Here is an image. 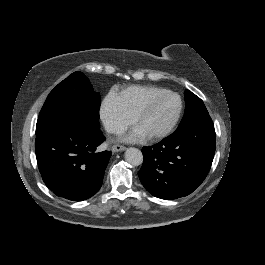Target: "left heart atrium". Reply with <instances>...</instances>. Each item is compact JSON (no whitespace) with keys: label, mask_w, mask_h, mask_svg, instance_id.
I'll list each match as a JSON object with an SVG mask.
<instances>
[{"label":"left heart atrium","mask_w":265,"mask_h":265,"mask_svg":"<svg viewBox=\"0 0 265 265\" xmlns=\"http://www.w3.org/2000/svg\"><path fill=\"white\" fill-rule=\"evenodd\" d=\"M143 136H145V134L141 130L136 129L131 133H129L128 135L124 136L123 139L127 141H136L142 138Z\"/></svg>","instance_id":"1"}]
</instances>
